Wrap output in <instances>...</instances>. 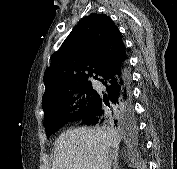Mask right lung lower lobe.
Returning <instances> with one entry per match:
<instances>
[{
  "mask_svg": "<svg viewBox=\"0 0 177 169\" xmlns=\"http://www.w3.org/2000/svg\"><path fill=\"white\" fill-rule=\"evenodd\" d=\"M99 76L96 79L106 86L107 93L96 92L92 106L78 119L86 125L127 123L134 114L127 58L106 67Z\"/></svg>",
  "mask_w": 177,
  "mask_h": 169,
  "instance_id": "98d812e1",
  "label": "right lung lower lobe"
}]
</instances>
